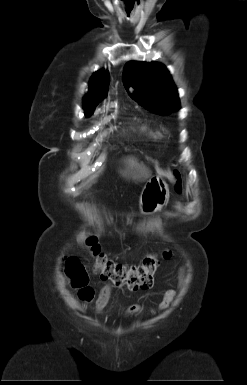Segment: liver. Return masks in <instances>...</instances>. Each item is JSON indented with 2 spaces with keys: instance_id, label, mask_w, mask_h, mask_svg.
<instances>
[{
  "instance_id": "obj_1",
  "label": "liver",
  "mask_w": 247,
  "mask_h": 385,
  "mask_svg": "<svg viewBox=\"0 0 247 385\" xmlns=\"http://www.w3.org/2000/svg\"><path fill=\"white\" fill-rule=\"evenodd\" d=\"M129 163L130 165L133 167V166H136L137 167V163L134 162V160H129Z\"/></svg>"
}]
</instances>
